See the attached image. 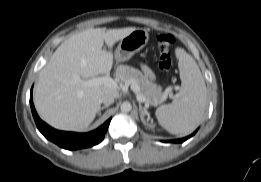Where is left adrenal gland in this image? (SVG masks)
I'll return each instance as SVG.
<instances>
[{"instance_id":"left-adrenal-gland-1","label":"left adrenal gland","mask_w":261,"mask_h":182,"mask_svg":"<svg viewBox=\"0 0 261 182\" xmlns=\"http://www.w3.org/2000/svg\"><path fill=\"white\" fill-rule=\"evenodd\" d=\"M139 110H140V116L141 120L144 124L149 121L150 119V114L147 112L146 109H144L141 105H139ZM145 116H147V119L145 120Z\"/></svg>"}]
</instances>
